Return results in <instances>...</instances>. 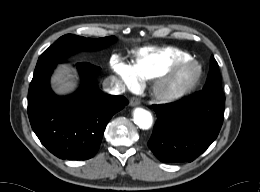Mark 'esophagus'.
Returning a JSON list of instances; mask_svg holds the SVG:
<instances>
[{
	"label": "esophagus",
	"mask_w": 260,
	"mask_h": 192,
	"mask_svg": "<svg viewBox=\"0 0 260 192\" xmlns=\"http://www.w3.org/2000/svg\"><path fill=\"white\" fill-rule=\"evenodd\" d=\"M130 106H137V105H139L140 104V99L139 98H137V97H132L131 99H130Z\"/></svg>",
	"instance_id": "34e87169"
}]
</instances>
